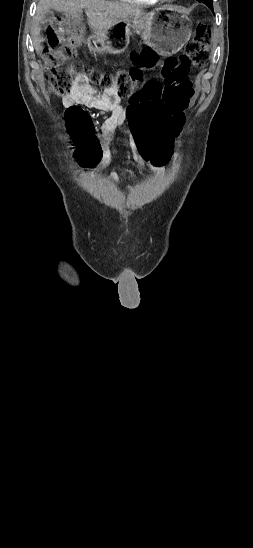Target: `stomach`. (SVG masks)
I'll return each mask as SVG.
<instances>
[{
    "mask_svg": "<svg viewBox=\"0 0 253 548\" xmlns=\"http://www.w3.org/2000/svg\"><path fill=\"white\" fill-rule=\"evenodd\" d=\"M130 28L161 55L178 52L192 33L187 15L174 7H161L150 12L140 11L108 30L105 35L95 34L89 47L96 53H123L132 34Z\"/></svg>",
    "mask_w": 253,
    "mask_h": 548,
    "instance_id": "obj_1",
    "label": "stomach"
}]
</instances>
